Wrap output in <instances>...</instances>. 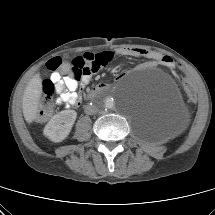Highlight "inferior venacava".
Segmentation results:
<instances>
[{
    "label": "inferior vena cava",
    "instance_id": "obj_1",
    "mask_svg": "<svg viewBox=\"0 0 215 215\" xmlns=\"http://www.w3.org/2000/svg\"><path fill=\"white\" fill-rule=\"evenodd\" d=\"M96 112H97V108H96L95 105H87V106L85 107V113H86V114L91 115V114H94V113H96Z\"/></svg>",
    "mask_w": 215,
    "mask_h": 215
}]
</instances>
